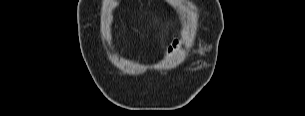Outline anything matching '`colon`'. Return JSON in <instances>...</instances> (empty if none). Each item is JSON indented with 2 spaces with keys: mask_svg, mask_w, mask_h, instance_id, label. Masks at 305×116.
<instances>
[{
  "mask_svg": "<svg viewBox=\"0 0 305 116\" xmlns=\"http://www.w3.org/2000/svg\"><path fill=\"white\" fill-rule=\"evenodd\" d=\"M180 46V40L176 39L172 42V44L168 48V56L173 55Z\"/></svg>",
  "mask_w": 305,
  "mask_h": 116,
  "instance_id": "obj_1",
  "label": "colon"
}]
</instances>
